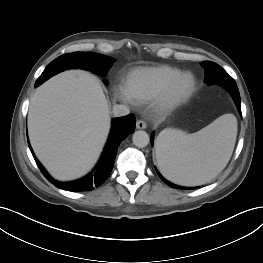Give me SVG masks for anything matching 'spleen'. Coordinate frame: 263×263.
<instances>
[{"instance_id": "3e777b00", "label": "spleen", "mask_w": 263, "mask_h": 263, "mask_svg": "<svg viewBox=\"0 0 263 263\" xmlns=\"http://www.w3.org/2000/svg\"><path fill=\"white\" fill-rule=\"evenodd\" d=\"M237 135V120L224 114L200 131L186 134L162 130L156 140V158L170 181L196 186L214 179L229 162Z\"/></svg>"}]
</instances>
